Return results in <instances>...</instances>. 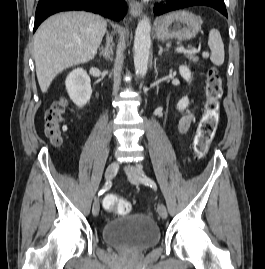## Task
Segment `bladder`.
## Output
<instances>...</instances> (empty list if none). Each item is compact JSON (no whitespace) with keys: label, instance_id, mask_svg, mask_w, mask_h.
<instances>
[{"label":"bladder","instance_id":"bladder-1","mask_svg":"<svg viewBox=\"0 0 265 269\" xmlns=\"http://www.w3.org/2000/svg\"><path fill=\"white\" fill-rule=\"evenodd\" d=\"M102 237L116 248L142 251L158 244L160 230L147 215L122 216L104 226Z\"/></svg>","mask_w":265,"mask_h":269}]
</instances>
